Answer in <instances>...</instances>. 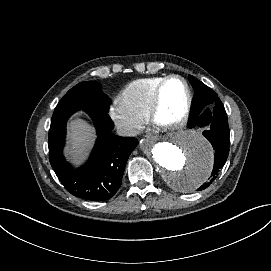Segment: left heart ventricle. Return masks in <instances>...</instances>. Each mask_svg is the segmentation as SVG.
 <instances>
[{
	"mask_svg": "<svg viewBox=\"0 0 271 271\" xmlns=\"http://www.w3.org/2000/svg\"><path fill=\"white\" fill-rule=\"evenodd\" d=\"M187 102V89L184 83L178 79L171 80L163 92V110L164 119H173L184 109Z\"/></svg>",
	"mask_w": 271,
	"mask_h": 271,
	"instance_id": "b2bd125f",
	"label": "left heart ventricle"
}]
</instances>
